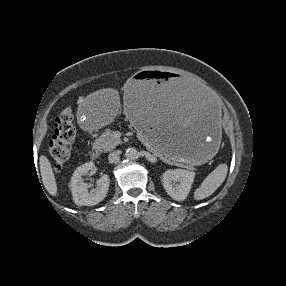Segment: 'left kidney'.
Returning <instances> with one entry per match:
<instances>
[{
	"label": "left kidney",
	"mask_w": 286,
	"mask_h": 286,
	"mask_svg": "<svg viewBox=\"0 0 286 286\" xmlns=\"http://www.w3.org/2000/svg\"><path fill=\"white\" fill-rule=\"evenodd\" d=\"M195 173L184 169L167 170L162 182L167 194L176 201H183L188 196Z\"/></svg>",
	"instance_id": "left-kidney-1"
}]
</instances>
